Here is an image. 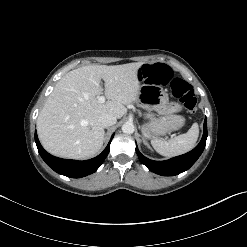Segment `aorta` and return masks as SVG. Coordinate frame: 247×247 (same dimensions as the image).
Returning a JSON list of instances; mask_svg holds the SVG:
<instances>
[{"instance_id":"obj_1","label":"aorta","mask_w":247,"mask_h":247,"mask_svg":"<svg viewBox=\"0 0 247 247\" xmlns=\"http://www.w3.org/2000/svg\"><path fill=\"white\" fill-rule=\"evenodd\" d=\"M134 125L130 122L124 123L122 125V132L126 134H132L134 132Z\"/></svg>"}]
</instances>
